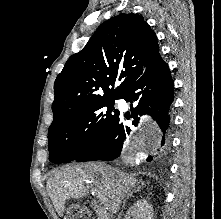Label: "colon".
Masks as SVG:
<instances>
[{"mask_svg": "<svg viewBox=\"0 0 221 219\" xmlns=\"http://www.w3.org/2000/svg\"><path fill=\"white\" fill-rule=\"evenodd\" d=\"M66 219H85L84 210L78 205H70L66 209Z\"/></svg>", "mask_w": 221, "mask_h": 219, "instance_id": "5ec220e1", "label": "colon"}]
</instances>
